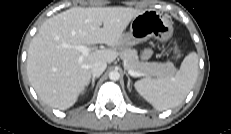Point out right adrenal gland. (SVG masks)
Returning <instances> with one entry per match:
<instances>
[{"mask_svg":"<svg viewBox=\"0 0 231 134\" xmlns=\"http://www.w3.org/2000/svg\"><path fill=\"white\" fill-rule=\"evenodd\" d=\"M99 78V76H93L92 79H91V83H92V89L94 88V85H95V80Z\"/></svg>","mask_w":231,"mask_h":134,"instance_id":"right-adrenal-gland-1","label":"right adrenal gland"}]
</instances>
